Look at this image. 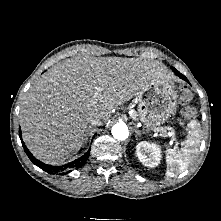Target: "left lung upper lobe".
<instances>
[{
    "label": "left lung upper lobe",
    "instance_id": "1",
    "mask_svg": "<svg viewBox=\"0 0 221 221\" xmlns=\"http://www.w3.org/2000/svg\"><path fill=\"white\" fill-rule=\"evenodd\" d=\"M174 71H177L175 68H172Z\"/></svg>",
    "mask_w": 221,
    "mask_h": 221
}]
</instances>
